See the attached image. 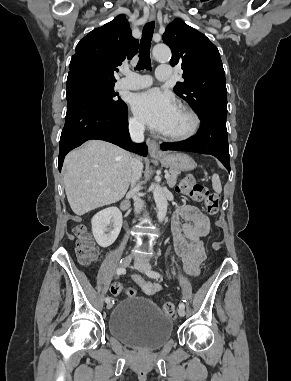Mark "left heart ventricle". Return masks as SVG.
<instances>
[{"label":"left heart ventricle","instance_id":"left-heart-ventricle-1","mask_svg":"<svg viewBox=\"0 0 291 381\" xmlns=\"http://www.w3.org/2000/svg\"><path fill=\"white\" fill-rule=\"evenodd\" d=\"M191 125L190 117L180 108L177 109L168 128L163 133L179 134L187 131Z\"/></svg>","mask_w":291,"mask_h":381}]
</instances>
